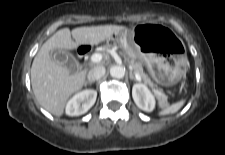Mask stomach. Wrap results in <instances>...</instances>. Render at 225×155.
<instances>
[{
    "instance_id": "stomach-1",
    "label": "stomach",
    "mask_w": 225,
    "mask_h": 155,
    "mask_svg": "<svg viewBox=\"0 0 225 155\" xmlns=\"http://www.w3.org/2000/svg\"><path fill=\"white\" fill-rule=\"evenodd\" d=\"M115 36L130 58L146 63L156 81L173 83L184 75V45L168 27L141 23Z\"/></svg>"
}]
</instances>
